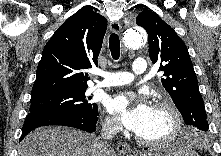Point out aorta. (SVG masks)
I'll return each instance as SVG.
<instances>
[{"instance_id": "1", "label": "aorta", "mask_w": 221, "mask_h": 156, "mask_svg": "<svg viewBox=\"0 0 221 156\" xmlns=\"http://www.w3.org/2000/svg\"><path fill=\"white\" fill-rule=\"evenodd\" d=\"M123 40L127 48L137 49L146 44L147 35L143 29L135 26L125 31Z\"/></svg>"}]
</instances>
